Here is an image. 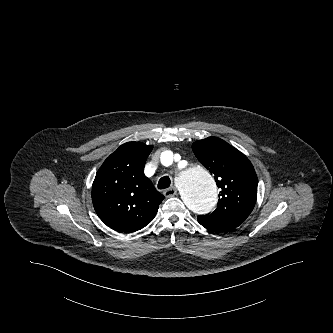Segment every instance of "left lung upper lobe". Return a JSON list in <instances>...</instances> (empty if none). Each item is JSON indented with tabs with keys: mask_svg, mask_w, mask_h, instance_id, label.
I'll return each instance as SVG.
<instances>
[{
	"mask_svg": "<svg viewBox=\"0 0 333 333\" xmlns=\"http://www.w3.org/2000/svg\"><path fill=\"white\" fill-rule=\"evenodd\" d=\"M192 148L221 189L216 209L199 215L198 222L215 232L233 230L250 215L256 203L258 179L253 165L243 153L217 137L196 141Z\"/></svg>",
	"mask_w": 333,
	"mask_h": 333,
	"instance_id": "5c2ea615",
	"label": "left lung upper lobe"
}]
</instances>
